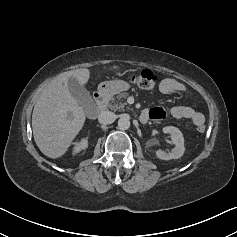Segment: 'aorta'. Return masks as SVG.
Listing matches in <instances>:
<instances>
[{"label": "aorta", "mask_w": 237, "mask_h": 237, "mask_svg": "<svg viewBox=\"0 0 237 237\" xmlns=\"http://www.w3.org/2000/svg\"><path fill=\"white\" fill-rule=\"evenodd\" d=\"M130 125H131L130 119L127 116H123L118 120V128L120 130H123V131L127 130L130 128Z\"/></svg>", "instance_id": "762f6f07"}]
</instances>
